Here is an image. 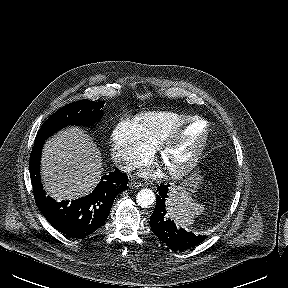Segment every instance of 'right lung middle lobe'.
<instances>
[{"label": "right lung middle lobe", "mask_w": 288, "mask_h": 288, "mask_svg": "<svg viewBox=\"0 0 288 288\" xmlns=\"http://www.w3.org/2000/svg\"><path fill=\"white\" fill-rule=\"evenodd\" d=\"M104 102L81 100L70 103L52 114L40 128L35 143L44 142L48 137L67 125L92 126L101 120Z\"/></svg>", "instance_id": "obj_1"}]
</instances>
